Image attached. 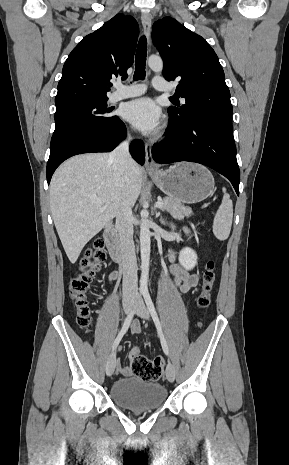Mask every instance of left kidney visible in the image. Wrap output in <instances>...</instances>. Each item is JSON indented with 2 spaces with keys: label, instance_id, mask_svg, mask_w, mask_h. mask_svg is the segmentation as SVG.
I'll return each instance as SVG.
<instances>
[{
  "label": "left kidney",
  "instance_id": "left-kidney-1",
  "mask_svg": "<svg viewBox=\"0 0 289 465\" xmlns=\"http://www.w3.org/2000/svg\"><path fill=\"white\" fill-rule=\"evenodd\" d=\"M179 262L186 270H192L197 263L196 252L189 248H183L179 253Z\"/></svg>",
  "mask_w": 289,
  "mask_h": 465
}]
</instances>
